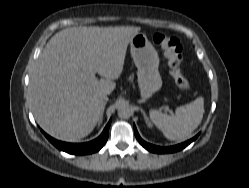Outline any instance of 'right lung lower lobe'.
Wrapping results in <instances>:
<instances>
[{
	"label": "right lung lower lobe",
	"instance_id": "right-lung-lower-lobe-1",
	"mask_svg": "<svg viewBox=\"0 0 249 188\" xmlns=\"http://www.w3.org/2000/svg\"><path fill=\"white\" fill-rule=\"evenodd\" d=\"M111 120L106 125L105 129L103 130L102 134L95 140L87 142V143H66L61 142L58 140L53 139L46 133L45 136L47 139L56 146L59 150L65 151L70 154H76V155H85V154H91L94 152L99 151L104 144L106 143L108 139V133H109V126H110Z\"/></svg>",
	"mask_w": 249,
	"mask_h": 188
}]
</instances>
